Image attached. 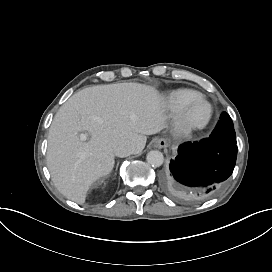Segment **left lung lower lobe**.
<instances>
[{
  "mask_svg": "<svg viewBox=\"0 0 272 272\" xmlns=\"http://www.w3.org/2000/svg\"><path fill=\"white\" fill-rule=\"evenodd\" d=\"M237 145L215 138L179 146L163 176L165 189L182 201H198L218 193L236 164Z\"/></svg>",
  "mask_w": 272,
  "mask_h": 272,
  "instance_id": "1",
  "label": "left lung lower lobe"
}]
</instances>
